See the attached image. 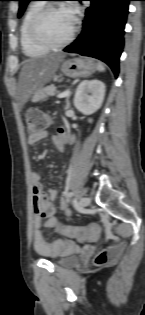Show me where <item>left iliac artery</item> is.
<instances>
[{
	"instance_id": "obj_1",
	"label": "left iliac artery",
	"mask_w": 145,
	"mask_h": 315,
	"mask_svg": "<svg viewBox=\"0 0 145 315\" xmlns=\"http://www.w3.org/2000/svg\"><path fill=\"white\" fill-rule=\"evenodd\" d=\"M74 193L73 192H69L67 193V197L70 198V197H73Z\"/></svg>"
}]
</instances>
